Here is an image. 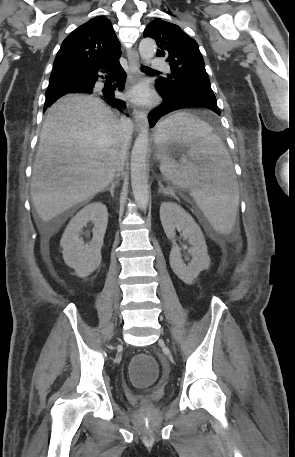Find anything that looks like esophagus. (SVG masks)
I'll list each match as a JSON object with an SVG mask.
<instances>
[{
    "label": "esophagus",
    "mask_w": 295,
    "mask_h": 457,
    "mask_svg": "<svg viewBox=\"0 0 295 457\" xmlns=\"http://www.w3.org/2000/svg\"><path fill=\"white\" fill-rule=\"evenodd\" d=\"M128 63L130 76L134 77L139 73V55L135 49H131L128 53ZM134 120L136 128L140 131L148 126L147 114L144 111L134 110Z\"/></svg>",
    "instance_id": "esophagus-1"
}]
</instances>
